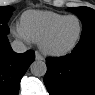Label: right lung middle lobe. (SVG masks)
I'll use <instances>...</instances> for the list:
<instances>
[{
    "label": "right lung middle lobe",
    "mask_w": 95,
    "mask_h": 95,
    "mask_svg": "<svg viewBox=\"0 0 95 95\" xmlns=\"http://www.w3.org/2000/svg\"><path fill=\"white\" fill-rule=\"evenodd\" d=\"M13 8L11 6H1L0 7V28L4 31H9L7 22L12 14Z\"/></svg>",
    "instance_id": "dd1d6c3e"
}]
</instances>
